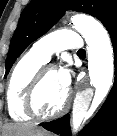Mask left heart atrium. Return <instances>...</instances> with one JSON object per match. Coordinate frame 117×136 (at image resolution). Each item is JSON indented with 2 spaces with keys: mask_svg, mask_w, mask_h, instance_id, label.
<instances>
[{
  "mask_svg": "<svg viewBox=\"0 0 117 136\" xmlns=\"http://www.w3.org/2000/svg\"><path fill=\"white\" fill-rule=\"evenodd\" d=\"M57 75L61 86L68 91L72 81L71 70L64 66L57 70Z\"/></svg>",
  "mask_w": 117,
  "mask_h": 136,
  "instance_id": "obj_1",
  "label": "left heart atrium"
}]
</instances>
